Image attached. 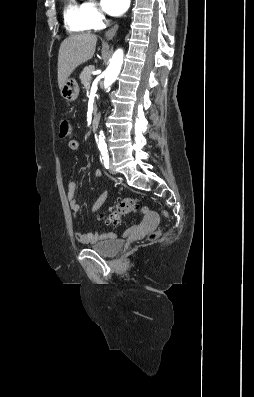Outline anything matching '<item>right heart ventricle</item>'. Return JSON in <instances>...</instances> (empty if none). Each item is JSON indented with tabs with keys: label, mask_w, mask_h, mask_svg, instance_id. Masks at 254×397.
I'll list each match as a JSON object with an SVG mask.
<instances>
[{
	"label": "right heart ventricle",
	"mask_w": 254,
	"mask_h": 397,
	"mask_svg": "<svg viewBox=\"0 0 254 397\" xmlns=\"http://www.w3.org/2000/svg\"><path fill=\"white\" fill-rule=\"evenodd\" d=\"M64 23L71 33H84L92 29L85 13V3L78 0H65Z\"/></svg>",
	"instance_id": "e07e8e85"
}]
</instances>
